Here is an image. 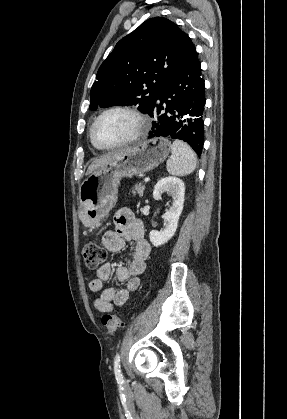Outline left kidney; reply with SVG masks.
I'll list each match as a JSON object with an SVG mask.
<instances>
[{
	"mask_svg": "<svg viewBox=\"0 0 287 419\" xmlns=\"http://www.w3.org/2000/svg\"><path fill=\"white\" fill-rule=\"evenodd\" d=\"M164 192L172 196L173 202L169 210L162 216L166 222L165 228L161 231L152 230L149 234L150 241L155 247L167 243L177 230L179 217L184 204V182L180 178L173 176L162 178L154 187L153 198L155 200H161Z\"/></svg>",
	"mask_w": 287,
	"mask_h": 419,
	"instance_id": "left-kidney-1",
	"label": "left kidney"
}]
</instances>
